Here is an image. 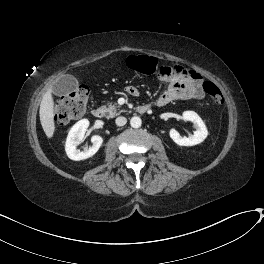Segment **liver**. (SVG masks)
Here are the masks:
<instances>
[{"mask_svg":"<svg viewBox=\"0 0 264 264\" xmlns=\"http://www.w3.org/2000/svg\"><path fill=\"white\" fill-rule=\"evenodd\" d=\"M53 89L50 87L44 94L40 104V121L42 128L48 138H52L55 132L54 123V99L52 96Z\"/></svg>","mask_w":264,"mask_h":264,"instance_id":"obj_1","label":"liver"}]
</instances>
